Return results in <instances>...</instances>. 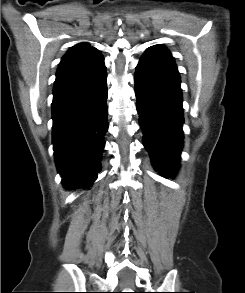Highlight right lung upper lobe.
<instances>
[{
	"mask_svg": "<svg viewBox=\"0 0 245 293\" xmlns=\"http://www.w3.org/2000/svg\"><path fill=\"white\" fill-rule=\"evenodd\" d=\"M103 67H105L103 56L96 48L88 43L73 46L59 64L53 93L94 75Z\"/></svg>",
	"mask_w": 245,
	"mask_h": 293,
	"instance_id": "cb5924a9",
	"label": "right lung upper lobe"
}]
</instances>
